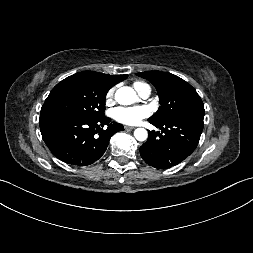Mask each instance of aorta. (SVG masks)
Returning <instances> with one entry per match:
<instances>
[{
  "label": "aorta",
  "instance_id": "762f6f07",
  "mask_svg": "<svg viewBox=\"0 0 253 253\" xmlns=\"http://www.w3.org/2000/svg\"><path fill=\"white\" fill-rule=\"evenodd\" d=\"M115 100L121 105H130L137 101V95L132 88L125 86L116 91ZM134 137L138 141H145L148 133L144 128H137L134 131Z\"/></svg>",
  "mask_w": 253,
  "mask_h": 253
}]
</instances>
